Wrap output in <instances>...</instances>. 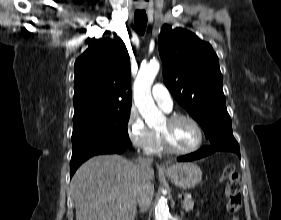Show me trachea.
<instances>
[{
  "label": "trachea",
  "mask_w": 281,
  "mask_h": 220,
  "mask_svg": "<svg viewBox=\"0 0 281 220\" xmlns=\"http://www.w3.org/2000/svg\"><path fill=\"white\" fill-rule=\"evenodd\" d=\"M134 24L138 33L143 35L147 25V15L144 10H138L135 12Z\"/></svg>",
  "instance_id": "trachea-1"
}]
</instances>
